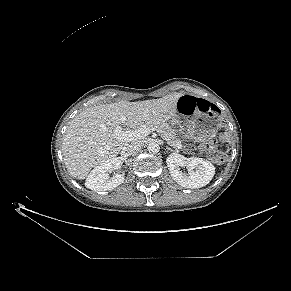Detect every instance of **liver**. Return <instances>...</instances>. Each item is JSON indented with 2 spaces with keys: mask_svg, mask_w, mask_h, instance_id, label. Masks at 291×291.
Segmentation results:
<instances>
[{
  "mask_svg": "<svg viewBox=\"0 0 291 291\" xmlns=\"http://www.w3.org/2000/svg\"><path fill=\"white\" fill-rule=\"evenodd\" d=\"M180 97V93H174L159 99L119 101L90 107L76 115L62 144L63 160L70 176L83 180L93 167L119 154L123 142L116 138L114 130L121 124L141 128L171 119Z\"/></svg>",
  "mask_w": 291,
  "mask_h": 291,
  "instance_id": "liver-1",
  "label": "liver"
}]
</instances>
